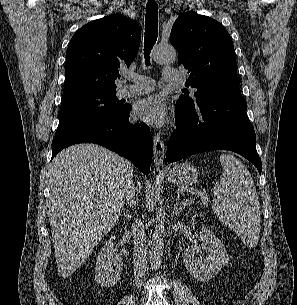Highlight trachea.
Wrapping results in <instances>:
<instances>
[{
    "instance_id": "trachea-1",
    "label": "trachea",
    "mask_w": 297,
    "mask_h": 305,
    "mask_svg": "<svg viewBox=\"0 0 297 305\" xmlns=\"http://www.w3.org/2000/svg\"><path fill=\"white\" fill-rule=\"evenodd\" d=\"M158 34V5L154 0L146 4L144 58L145 64L150 65V52L156 43Z\"/></svg>"
}]
</instances>
